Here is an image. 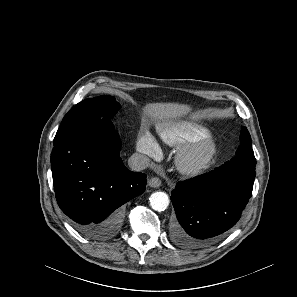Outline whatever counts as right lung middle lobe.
<instances>
[{"instance_id":"dd1d6c3e","label":"right lung middle lobe","mask_w":297,"mask_h":297,"mask_svg":"<svg viewBox=\"0 0 297 297\" xmlns=\"http://www.w3.org/2000/svg\"><path fill=\"white\" fill-rule=\"evenodd\" d=\"M119 107L115 98L108 95L85 99L65 115L56 137L92 126H113L110 118L118 111Z\"/></svg>"}]
</instances>
